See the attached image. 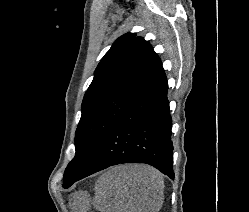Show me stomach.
Segmentation results:
<instances>
[{"instance_id":"stomach-1","label":"stomach","mask_w":249,"mask_h":212,"mask_svg":"<svg viewBox=\"0 0 249 212\" xmlns=\"http://www.w3.org/2000/svg\"><path fill=\"white\" fill-rule=\"evenodd\" d=\"M90 202V194H87V192H76V194H72L69 206L73 212H89Z\"/></svg>"}]
</instances>
